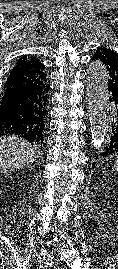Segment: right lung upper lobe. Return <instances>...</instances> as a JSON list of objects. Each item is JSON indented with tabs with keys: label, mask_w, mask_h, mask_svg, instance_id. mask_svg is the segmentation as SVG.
Segmentation results:
<instances>
[{
	"label": "right lung upper lobe",
	"mask_w": 118,
	"mask_h": 269,
	"mask_svg": "<svg viewBox=\"0 0 118 269\" xmlns=\"http://www.w3.org/2000/svg\"><path fill=\"white\" fill-rule=\"evenodd\" d=\"M34 89L37 91L35 115L37 130L43 132L49 99V84L45 66L36 57H21L11 70L4 88Z\"/></svg>",
	"instance_id": "right-lung-upper-lobe-1"
}]
</instances>
